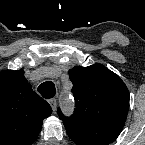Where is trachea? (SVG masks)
<instances>
[{"instance_id":"3493384b","label":"trachea","mask_w":145,"mask_h":145,"mask_svg":"<svg viewBox=\"0 0 145 145\" xmlns=\"http://www.w3.org/2000/svg\"><path fill=\"white\" fill-rule=\"evenodd\" d=\"M37 90L46 99H50L56 94L55 85L51 81H46L40 84Z\"/></svg>"}]
</instances>
